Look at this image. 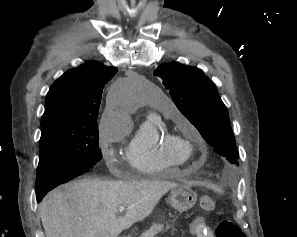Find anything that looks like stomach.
<instances>
[{"label": "stomach", "instance_id": "1", "mask_svg": "<svg viewBox=\"0 0 297 237\" xmlns=\"http://www.w3.org/2000/svg\"><path fill=\"white\" fill-rule=\"evenodd\" d=\"M196 200V193L185 186L174 188L169 196L171 206L179 212L191 209L195 205Z\"/></svg>", "mask_w": 297, "mask_h": 237}]
</instances>
